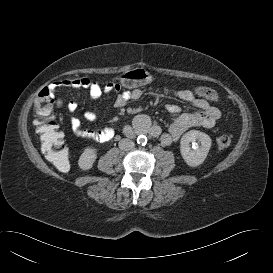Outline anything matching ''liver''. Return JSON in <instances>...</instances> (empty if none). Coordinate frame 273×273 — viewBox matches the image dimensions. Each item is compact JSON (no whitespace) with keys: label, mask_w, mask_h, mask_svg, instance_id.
Instances as JSON below:
<instances>
[{"label":"liver","mask_w":273,"mask_h":273,"mask_svg":"<svg viewBox=\"0 0 273 273\" xmlns=\"http://www.w3.org/2000/svg\"><path fill=\"white\" fill-rule=\"evenodd\" d=\"M57 104H58V106H61V105H62V101H61V100H58V101H57Z\"/></svg>","instance_id":"obj_1"}]
</instances>
